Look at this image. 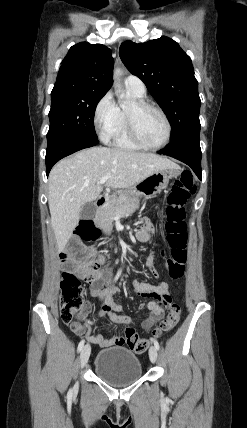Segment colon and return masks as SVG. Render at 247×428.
Returning a JSON list of instances; mask_svg holds the SVG:
<instances>
[{"mask_svg":"<svg viewBox=\"0 0 247 428\" xmlns=\"http://www.w3.org/2000/svg\"><path fill=\"white\" fill-rule=\"evenodd\" d=\"M195 191L196 183L193 176L188 172H184L181 177L174 182L167 198L166 232L170 256L166 260V269L168 278L172 280L181 278L185 271V264L187 261V234L184 221V206ZM97 234V229L91 221H83L77 230L78 243H93ZM76 246V244H72L70 250L61 255L63 265L67 268V271L63 273L61 281L60 309L62 320L70 327L78 328L79 321L83 319L86 314L87 304L80 279L75 272ZM82 265L87 282L92 283L99 279L100 272L97 260L88 257L84 260ZM145 305L150 308V316L147 322L144 321L141 325L143 329H150L160 324L154 329V336L160 337L171 331L179 322L181 307L177 302H172L165 298H155L154 300L146 302ZM137 309L138 312H142L144 309V300L142 298L137 304ZM166 310H168V314ZM126 329L125 336L116 339L115 343L119 345L126 344L136 353L145 352L148 348L149 341L139 338V332L133 329L132 326L129 325Z\"/></svg>","mask_w":247,"mask_h":428,"instance_id":"5ec220e1","label":"colon"}]
</instances>
